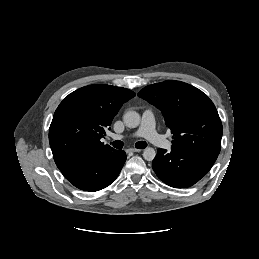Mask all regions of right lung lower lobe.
Segmentation results:
<instances>
[{
	"mask_svg": "<svg viewBox=\"0 0 259 259\" xmlns=\"http://www.w3.org/2000/svg\"><path fill=\"white\" fill-rule=\"evenodd\" d=\"M126 161V153L113 150L78 163L57 165L64 177L75 187L98 191L109 186L119 175Z\"/></svg>",
	"mask_w": 259,
	"mask_h": 259,
	"instance_id": "1",
	"label": "right lung lower lobe"
}]
</instances>
